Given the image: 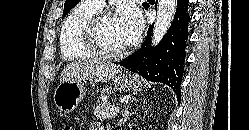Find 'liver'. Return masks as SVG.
Returning <instances> with one entry per match:
<instances>
[{
  "instance_id": "liver-1",
  "label": "liver",
  "mask_w": 249,
  "mask_h": 130,
  "mask_svg": "<svg viewBox=\"0 0 249 130\" xmlns=\"http://www.w3.org/2000/svg\"><path fill=\"white\" fill-rule=\"evenodd\" d=\"M121 70L120 66L98 60L72 62L64 67L60 83L82 80L106 82L113 79Z\"/></svg>"
}]
</instances>
